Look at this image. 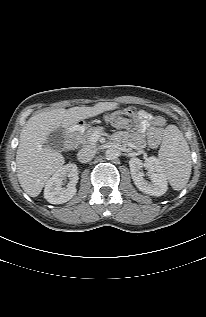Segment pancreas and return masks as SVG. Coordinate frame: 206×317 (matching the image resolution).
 I'll use <instances>...</instances> for the list:
<instances>
[{"mask_svg":"<svg viewBox=\"0 0 206 317\" xmlns=\"http://www.w3.org/2000/svg\"><path fill=\"white\" fill-rule=\"evenodd\" d=\"M101 127H91L85 132H75L73 136V141L75 145L83 146H95V142L92 140V136L96 132H101Z\"/></svg>","mask_w":206,"mask_h":317,"instance_id":"pancreas-1","label":"pancreas"}]
</instances>
